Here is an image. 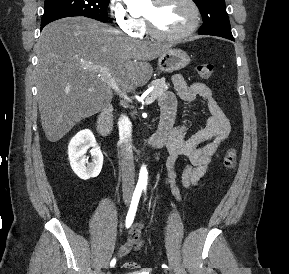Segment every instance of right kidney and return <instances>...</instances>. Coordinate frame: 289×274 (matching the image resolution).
Instances as JSON below:
<instances>
[{
  "label": "right kidney",
  "mask_w": 289,
  "mask_h": 274,
  "mask_svg": "<svg viewBox=\"0 0 289 274\" xmlns=\"http://www.w3.org/2000/svg\"><path fill=\"white\" fill-rule=\"evenodd\" d=\"M89 149L92 162L86 165V153ZM68 156L72 170L83 180L97 177L101 172L103 154L93 133L88 129L81 130L71 139L68 145Z\"/></svg>",
  "instance_id": "1"
}]
</instances>
